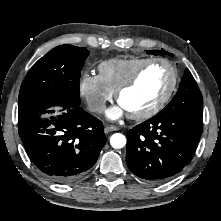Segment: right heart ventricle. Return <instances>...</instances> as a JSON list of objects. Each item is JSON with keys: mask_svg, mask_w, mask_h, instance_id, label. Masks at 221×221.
Here are the masks:
<instances>
[{"mask_svg": "<svg viewBox=\"0 0 221 221\" xmlns=\"http://www.w3.org/2000/svg\"><path fill=\"white\" fill-rule=\"evenodd\" d=\"M147 59L148 58L129 57L105 60L98 66L99 76L104 84L114 93Z\"/></svg>", "mask_w": 221, "mask_h": 221, "instance_id": "e07e8e85", "label": "right heart ventricle"}]
</instances>
